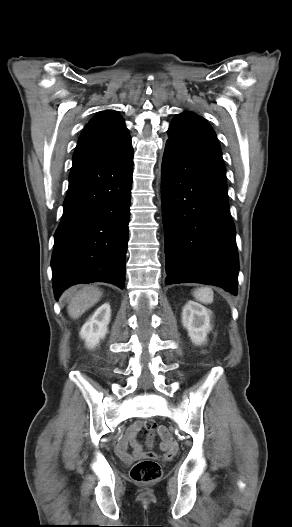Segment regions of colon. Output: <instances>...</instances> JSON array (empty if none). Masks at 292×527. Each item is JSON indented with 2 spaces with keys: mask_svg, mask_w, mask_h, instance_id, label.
Wrapping results in <instances>:
<instances>
[{
  "mask_svg": "<svg viewBox=\"0 0 292 527\" xmlns=\"http://www.w3.org/2000/svg\"><path fill=\"white\" fill-rule=\"evenodd\" d=\"M154 422L146 420L142 425L145 430H153ZM169 434V433H167ZM162 471L160 465L149 458L138 461L133 465L130 475L131 478L140 483H151L157 481L161 477Z\"/></svg>",
  "mask_w": 292,
  "mask_h": 527,
  "instance_id": "obj_1",
  "label": "colon"
}]
</instances>
